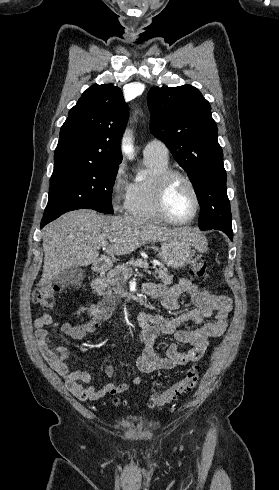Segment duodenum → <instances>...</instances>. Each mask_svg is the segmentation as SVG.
<instances>
[{
  "label": "duodenum",
  "instance_id": "1",
  "mask_svg": "<svg viewBox=\"0 0 279 490\" xmlns=\"http://www.w3.org/2000/svg\"><path fill=\"white\" fill-rule=\"evenodd\" d=\"M105 267V263L102 260H97L93 264V269L96 272L102 271ZM129 295V291L126 288H118L114 294L105 296L99 303L90 306L91 315L99 320H105L109 318L115 308L116 300L121 297Z\"/></svg>",
  "mask_w": 279,
  "mask_h": 490
}]
</instances>
